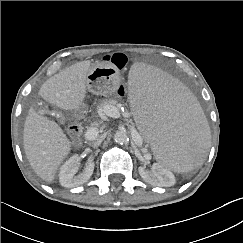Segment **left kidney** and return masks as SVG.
<instances>
[{"mask_svg": "<svg viewBox=\"0 0 243 243\" xmlns=\"http://www.w3.org/2000/svg\"><path fill=\"white\" fill-rule=\"evenodd\" d=\"M139 174L145 182L154 186L170 187L176 181L172 171L160 163H154L151 170L139 167Z\"/></svg>", "mask_w": 243, "mask_h": 243, "instance_id": "left-kidney-1", "label": "left kidney"}]
</instances>
